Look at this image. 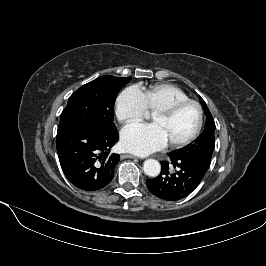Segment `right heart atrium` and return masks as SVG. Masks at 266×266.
I'll return each mask as SVG.
<instances>
[{
    "label": "right heart atrium",
    "instance_id": "obj_1",
    "mask_svg": "<svg viewBox=\"0 0 266 266\" xmlns=\"http://www.w3.org/2000/svg\"><path fill=\"white\" fill-rule=\"evenodd\" d=\"M147 114L142 92L136 86L125 88L116 100V115L123 123L137 122Z\"/></svg>",
    "mask_w": 266,
    "mask_h": 266
}]
</instances>
